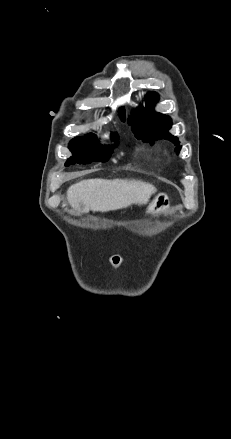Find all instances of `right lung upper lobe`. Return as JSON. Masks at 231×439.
<instances>
[{"mask_svg": "<svg viewBox=\"0 0 231 439\" xmlns=\"http://www.w3.org/2000/svg\"><path fill=\"white\" fill-rule=\"evenodd\" d=\"M119 113H120V118H121V120L124 121V120H125V112H124V109H120V110H119Z\"/></svg>", "mask_w": 231, "mask_h": 439, "instance_id": "1", "label": "right lung upper lobe"}]
</instances>
